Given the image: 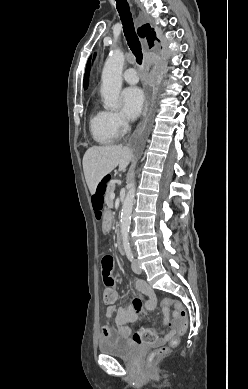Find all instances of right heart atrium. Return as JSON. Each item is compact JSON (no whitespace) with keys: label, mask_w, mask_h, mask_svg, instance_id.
Segmentation results:
<instances>
[{"label":"right heart atrium","mask_w":248,"mask_h":389,"mask_svg":"<svg viewBox=\"0 0 248 389\" xmlns=\"http://www.w3.org/2000/svg\"><path fill=\"white\" fill-rule=\"evenodd\" d=\"M109 120L115 134L122 133L128 126L126 119L118 112H109Z\"/></svg>","instance_id":"right-heart-atrium-1"}]
</instances>
